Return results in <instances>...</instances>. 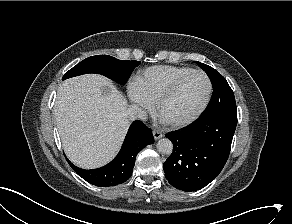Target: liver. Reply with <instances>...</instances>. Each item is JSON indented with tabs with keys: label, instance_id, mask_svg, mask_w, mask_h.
Instances as JSON below:
<instances>
[{
	"label": "liver",
	"instance_id": "liver-1",
	"mask_svg": "<svg viewBox=\"0 0 292 224\" xmlns=\"http://www.w3.org/2000/svg\"><path fill=\"white\" fill-rule=\"evenodd\" d=\"M127 100L105 77L86 74L64 81L54 114L67 157L84 169L108 163L129 127Z\"/></svg>",
	"mask_w": 292,
	"mask_h": 224
}]
</instances>
